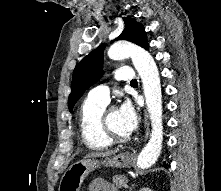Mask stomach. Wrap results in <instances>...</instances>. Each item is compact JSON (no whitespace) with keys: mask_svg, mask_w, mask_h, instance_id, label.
<instances>
[{"mask_svg":"<svg viewBox=\"0 0 221 191\" xmlns=\"http://www.w3.org/2000/svg\"><path fill=\"white\" fill-rule=\"evenodd\" d=\"M133 162V154L129 152L120 153L104 161L94 159L79 160L72 164L63 174L59 184V191H79L88 174L101 165L129 168Z\"/></svg>","mask_w":221,"mask_h":191,"instance_id":"1","label":"stomach"}]
</instances>
